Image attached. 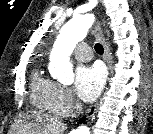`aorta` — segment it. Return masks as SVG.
<instances>
[{
  "label": "aorta",
  "instance_id": "762f6f07",
  "mask_svg": "<svg viewBox=\"0 0 153 134\" xmlns=\"http://www.w3.org/2000/svg\"><path fill=\"white\" fill-rule=\"evenodd\" d=\"M92 20L93 18L89 14L78 15L60 30L50 54L49 71L52 77L62 84H72L74 81L73 67L69 57L76 44L86 37ZM76 134H90V130L86 126H81L76 130Z\"/></svg>",
  "mask_w": 153,
  "mask_h": 134
}]
</instances>
